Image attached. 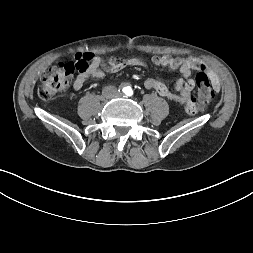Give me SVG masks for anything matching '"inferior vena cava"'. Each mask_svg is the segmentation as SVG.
Masks as SVG:
<instances>
[{"label":"inferior vena cava","instance_id":"602c4592","mask_svg":"<svg viewBox=\"0 0 253 253\" xmlns=\"http://www.w3.org/2000/svg\"><path fill=\"white\" fill-rule=\"evenodd\" d=\"M103 93L104 95L107 97V98H112L116 95L117 93V88L115 86H108V87H105L104 90H103Z\"/></svg>","mask_w":253,"mask_h":253}]
</instances>
